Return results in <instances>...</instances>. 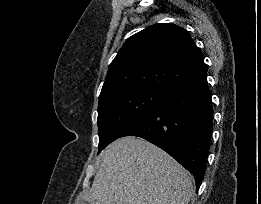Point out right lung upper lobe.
<instances>
[{
    "instance_id": "obj_1",
    "label": "right lung upper lobe",
    "mask_w": 261,
    "mask_h": 204,
    "mask_svg": "<svg viewBox=\"0 0 261 204\" xmlns=\"http://www.w3.org/2000/svg\"><path fill=\"white\" fill-rule=\"evenodd\" d=\"M204 65L188 32L159 23L134 34L109 66L99 100L122 90L166 92Z\"/></svg>"
}]
</instances>
